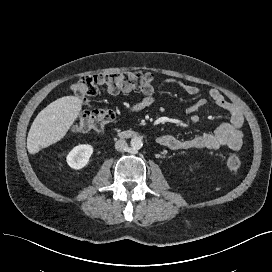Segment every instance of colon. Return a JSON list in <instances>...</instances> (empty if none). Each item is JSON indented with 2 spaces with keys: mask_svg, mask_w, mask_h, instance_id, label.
I'll list each match as a JSON object with an SVG mask.
<instances>
[{
  "mask_svg": "<svg viewBox=\"0 0 272 272\" xmlns=\"http://www.w3.org/2000/svg\"><path fill=\"white\" fill-rule=\"evenodd\" d=\"M72 93L86 100L102 92L119 94L121 92L138 91L144 94L153 92V76L147 73H113L85 75L71 86ZM115 113L108 107H100L82 113L75 121V132L101 131L113 123ZM227 168L231 171L241 169L243 162L237 155H230L226 161Z\"/></svg>",
  "mask_w": 272,
  "mask_h": 272,
  "instance_id": "5ec220e1",
  "label": "colon"
}]
</instances>
